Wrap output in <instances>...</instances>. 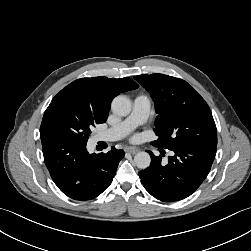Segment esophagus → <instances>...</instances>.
Segmentation results:
<instances>
[{"mask_svg": "<svg viewBox=\"0 0 251 251\" xmlns=\"http://www.w3.org/2000/svg\"><path fill=\"white\" fill-rule=\"evenodd\" d=\"M125 151L128 152V153H130V154H136L139 151V149L135 148V147H127L125 149Z\"/></svg>", "mask_w": 251, "mask_h": 251, "instance_id": "34e87169", "label": "esophagus"}]
</instances>
